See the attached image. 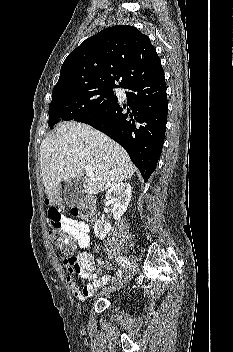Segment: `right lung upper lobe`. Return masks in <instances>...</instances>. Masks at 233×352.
<instances>
[{"instance_id":"obj_1","label":"right lung upper lobe","mask_w":233,"mask_h":352,"mask_svg":"<svg viewBox=\"0 0 233 352\" xmlns=\"http://www.w3.org/2000/svg\"><path fill=\"white\" fill-rule=\"evenodd\" d=\"M162 73L149 37L133 26L116 25L86 39L68 55L53 92L95 85L125 88Z\"/></svg>"}]
</instances>
